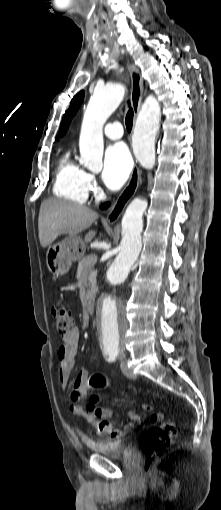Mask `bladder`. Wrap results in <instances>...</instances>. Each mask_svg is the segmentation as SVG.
I'll list each match as a JSON object with an SVG mask.
<instances>
[{
    "mask_svg": "<svg viewBox=\"0 0 221 510\" xmlns=\"http://www.w3.org/2000/svg\"><path fill=\"white\" fill-rule=\"evenodd\" d=\"M135 435L130 434L121 437L117 441H96L89 444L88 448L95 453L108 458H119L128 455L134 447Z\"/></svg>",
    "mask_w": 221,
    "mask_h": 510,
    "instance_id": "1",
    "label": "bladder"
}]
</instances>
